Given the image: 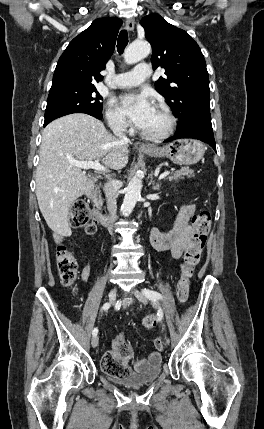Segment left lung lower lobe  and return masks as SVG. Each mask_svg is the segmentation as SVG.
I'll return each instance as SVG.
<instances>
[{
  "label": "left lung lower lobe",
  "instance_id": "0a47b994",
  "mask_svg": "<svg viewBox=\"0 0 264 429\" xmlns=\"http://www.w3.org/2000/svg\"><path fill=\"white\" fill-rule=\"evenodd\" d=\"M182 138L199 139L208 143L215 151L216 144L213 135L210 112L198 113L193 120L184 127L177 128V134L165 140V142Z\"/></svg>",
  "mask_w": 264,
  "mask_h": 429
}]
</instances>
